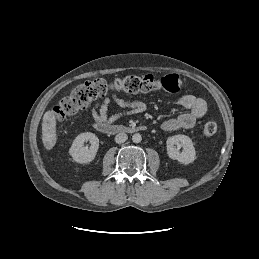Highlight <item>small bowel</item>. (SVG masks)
Listing matches in <instances>:
<instances>
[{"instance_id": "c3829d8e", "label": "small bowel", "mask_w": 259, "mask_h": 259, "mask_svg": "<svg viewBox=\"0 0 259 259\" xmlns=\"http://www.w3.org/2000/svg\"><path fill=\"white\" fill-rule=\"evenodd\" d=\"M112 100L122 110L110 114V99L107 97L104 98L102 101L94 104L91 109V117L95 124H110L123 116L136 114L143 109L142 105L139 103L127 102L118 97L116 94H112ZM177 103L182 106L186 112L178 115L177 117L164 121L161 125V128L164 131L171 132L179 129H190L195 125L198 119L202 118L206 114L207 111L206 102L202 98L192 94H185L180 96L177 99Z\"/></svg>"}]
</instances>
